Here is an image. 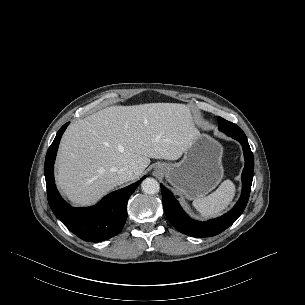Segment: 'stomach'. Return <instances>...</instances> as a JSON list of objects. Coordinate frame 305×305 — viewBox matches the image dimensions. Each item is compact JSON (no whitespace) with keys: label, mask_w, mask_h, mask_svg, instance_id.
<instances>
[{"label":"stomach","mask_w":305,"mask_h":305,"mask_svg":"<svg viewBox=\"0 0 305 305\" xmlns=\"http://www.w3.org/2000/svg\"><path fill=\"white\" fill-rule=\"evenodd\" d=\"M223 148L206 134H198L178 163H158L166 180L187 199H196L213 190L223 178Z\"/></svg>","instance_id":"obj_1"}]
</instances>
